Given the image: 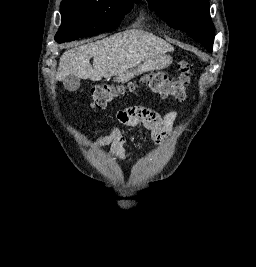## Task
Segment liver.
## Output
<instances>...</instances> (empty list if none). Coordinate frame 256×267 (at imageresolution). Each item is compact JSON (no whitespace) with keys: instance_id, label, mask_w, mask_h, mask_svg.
<instances>
[{"instance_id":"obj_1","label":"liver","mask_w":256,"mask_h":267,"mask_svg":"<svg viewBox=\"0 0 256 267\" xmlns=\"http://www.w3.org/2000/svg\"><path fill=\"white\" fill-rule=\"evenodd\" d=\"M164 52H174L173 46L158 36L143 30H126L94 44L76 46L64 52L60 58L56 80H65L70 74L99 82L102 78L117 76L122 82L123 74L142 62L154 60ZM93 58V68L90 60Z\"/></svg>"}]
</instances>
